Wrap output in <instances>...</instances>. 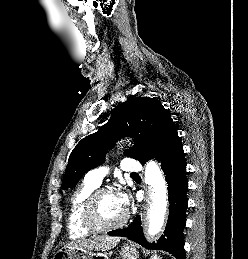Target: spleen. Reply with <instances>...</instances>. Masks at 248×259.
I'll return each instance as SVG.
<instances>
[{"label":"spleen","instance_id":"obj_1","mask_svg":"<svg viewBox=\"0 0 248 259\" xmlns=\"http://www.w3.org/2000/svg\"><path fill=\"white\" fill-rule=\"evenodd\" d=\"M153 259H162V258L158 257L157 255H154Z\"/></svg>","mask_w":248,"mask_h":259}]
</instances>
